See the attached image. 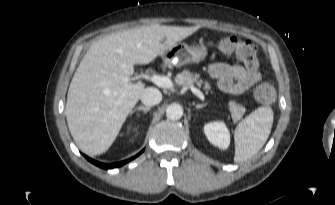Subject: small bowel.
Returning a JSON list of instances; mask_svg holds the SVG:
<instances>
[{"mask_svg": "<svg viewBox=\"0 0 335 205\" xmlns=\"http://www.w3.org/2000/svg\"><path fill=\"white\" fill-rule=\"evenodd\" d=\"M209 75L217 80L222 92L239 95L250 89L261 80L257 69H246L239 64L216 62L208 67Z\"/></svg>", "mask_w": 335, "mask_h": 205, "instance_id": "1", "label": "small bowel"}]
</instances>
